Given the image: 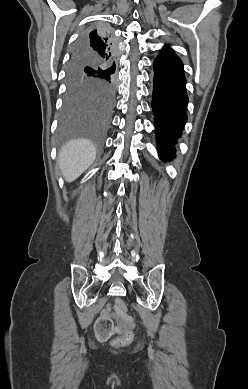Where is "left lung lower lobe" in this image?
Wrapping results in <instances>:
<instances>
[{
  "instance_id": "1",
  "label": "left lung lower lobe",
  "mask_w": 248,
  "mask_h": 389,
  "mask_svg": "<svg viewBox=\"0 0 248 389\" xmlns=\"http://www.w3.org/2000/svg\"><path fill=\"white\" fill-rule=\"evenodd\" d=\"M153 100L157 145L160 158L174 155V144L187 121L188 96L183 63L174 51L164 46L153 63Z\"/></svg>"
}]
</instances>
